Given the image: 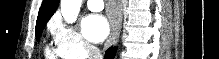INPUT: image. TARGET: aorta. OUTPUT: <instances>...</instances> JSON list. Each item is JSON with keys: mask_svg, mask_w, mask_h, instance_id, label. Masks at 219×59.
<instances>
[{"mask_svg": "<svg viewBox=\"0 0 219 59\" xmlns=\"http://www.w3.org/2000/svg\"><path fill=\"white\" fill-rule=\"evenodd\" d=\"M82 0H61V13L67 23L77 20Z\"/></svg>", "mask_w": 219, "mask_h": 59, "instance_id": "1", "label": "aorta"}]
</instances>
